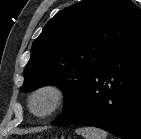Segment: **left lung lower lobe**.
<instances>
[{"label": "left lung lower lobe", "instance_id": "left-lung-lower-lobe-1", "mask_svg": "<svg viewBox=\"0 0 141 139\" xmlns=\"http://www.w3.org/2000/svg\"><path fill=\"white\" fill-rule=\"evenodd\" d=\"M68 124L141 139V29L90 73L76 100L51 123Z\"/></svg>", "mask_w": 141, "mask_h": 139}]
</instances>
